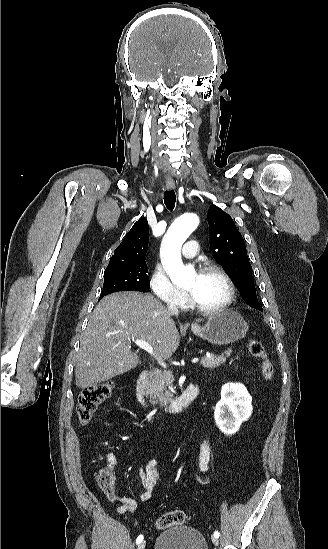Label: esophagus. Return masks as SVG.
<instances>
[{"label":"esophagus","instance_id":"esophagus-1","mask_svg":"<svg viewBox=\"0 0 328 549\" xmlns=\"http://www.w3.org/2000/svg\"><path fill=\"white\" fill-rule=\"evenodd\" d=\"M166 187L168 189H174L175 188V182L174 180H166Z\"/></svg>","mask_w":328,"mask_h":549}]
</instances>
